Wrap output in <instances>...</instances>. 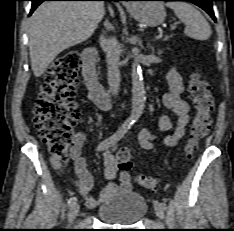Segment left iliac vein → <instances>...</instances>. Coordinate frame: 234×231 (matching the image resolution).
<instances>
[{"instance_id":"obj_1","label":"left iliac vein","mask_w":234,"mask_h":231,"mask_svg":"<svg viewBox=\"0 0 234 231\" xmlns=\"http://www.w3.org/2000/svg\"><path fill=\"white\" fill-rule=\"evenodd\" d=\"M154 210L156 215L160 218L163 219L164 218V209L161 207L160 203L158 201H156L154 203Z\"/></svg>"}]
</instances>
